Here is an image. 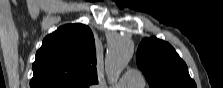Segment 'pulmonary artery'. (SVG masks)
Instances as JSON below:
<instances>
[{"mask_svg":"<svg viewBox=\"0 0 223 88\" xmlns=\"http://www.w3.org/2000/svg\"><path fill=\"white\" fill-rule=\"evenodd\" d=\"M145 84L144 77L138 70H129L116 83L115 87L119 88H138Z\"/></svg>","mask_w":223,"mask_h":88,"instance_id":"e3ab8cb5","label":"pulmonary artery"}]
</instances>
